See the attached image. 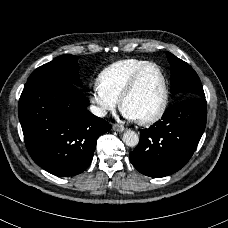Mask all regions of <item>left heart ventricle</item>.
Instances as JSON below:
<instances>
[{"label": "left heart ventricle", "instance_id": "obj_1", "mask_svg": "<svg viewBox=\"0 0 228 228\" xmlns=\"http://www.w3.org/2000/svg\"><path fill=\"white\" fill-rule=\"evenodd\" d=\"M164 101V85L161 74L150 68L142 76L135 93L125 104V112L135 119H145L156 114Z\"/></svg>", "mask_w": 228, "mask_h": 228}]
</instances>
